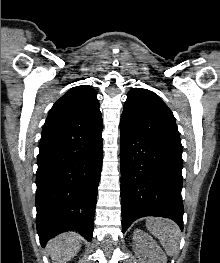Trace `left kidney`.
<instances>
[{
    "instance_id": "1",
    "label": "left kidney",
    "mask_w": 220,
    "mask_h": 263,
    "mask_svg": "<svg viewBox=\"0 0 220 263\" xmlns=\"http://www.w3.org/2000/svg\"><path fill=\"white\" fill-rule=\"evenodd\" d=\"M133 249L142 263H166L164 252L156 241L143 230L135 229L133 232Z\"/></svg>"
}]
</instances>
